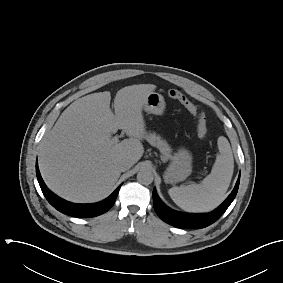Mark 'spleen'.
Masks as SVG:
<instances>
[{
    "label": "spleen",
    "mask_w": 283,
    "mask_h": 283,
    "mask_svg": "<svg viewBox=\"0 0 283 283\" xmlns=\"http://www.w3.org/2000/svg\"><path fill=\"white\" fill-rule=\"evenodd\" d=\"M217 144L219 154L211 173L201 183L169 189V196L181 209L208 212L224 200L233 175L234 159L230 143L225 137L220 136Z\"/></svg>",
    "instance_id": "obj_1"
}]
</instances>
